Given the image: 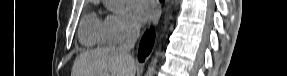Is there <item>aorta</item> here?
<instances>
[{"mask_svg": "<svg viewBox=\"0 0 287 76\" xmlns=\"http://www.w3.org/2000/svg\"><path fill=\"white\" fill-rule=\"evenodd\" d=\"M161 55L160 51H156L155 53V57L152 58V61L148 67V70L146 72V76H153L156 72V66H157V62H158V58Z\"/></svg>", "mask_w": 287, "mask_h": 76, "instance_id": "aorta-1", "label": "aorta"}]
</instances>
